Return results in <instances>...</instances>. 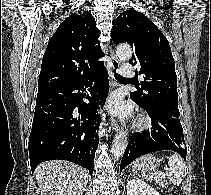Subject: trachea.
Instances as JSON below:
<instances>
[{
  "mask_svg": "<svg viewBox=\"0 0 211 195\" xmlns=\"http://www.w3.org/2000/svg\"><path fill=\"white\" fill-rule=\"evenodd\" d=\"M114 76L118 81L134 82V80L125 78V77H123V76H121L120 74H117V73H115Z\"/></svg>",
  "mask_w": 211,
  "mask_h": 195,
  "instance_id": "3493384b",
  "label": "trachea"
}]
</instances>
